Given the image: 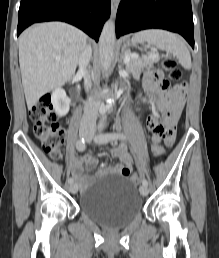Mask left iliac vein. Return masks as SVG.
I'll list each match as a JSON object with an SVG mask.
<instances>
[{"mask_svg":"<svg viewBox=\"0 0 219 258\" xmlns=\"http://www.w3.org/2000/svg\"><path fill=\"white\" fill-rule=\"evenodd\" d=\"M87 140H88V141H91V137L89 136V137L87 138ZM140 193H141L142 196H147L148 193H149L148 187L145 186V185H142V186L140 187Z\"/></svg>","mask_w":219,"mask_h":258,"instance_id":"obj_1","label":"left iliac vein"}]
</instances>
